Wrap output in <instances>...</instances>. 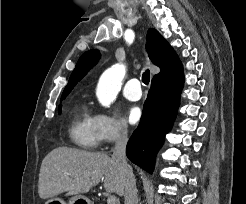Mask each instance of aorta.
Instances as JSON below:
<instances>
[{"mask_svg":"<svg viewBox=\"0 0 246 204\" xmlns=\"http://www.w3.org/2000/svg\"><path fill=\"white\" fill-rule=\"evenodd\" d=\"M124 76L125 66L122 64H116L102 74L97 88V97L103 106L109 107L114 101Z\"/></svg>","mask_w":246,"mask_h":204,"instance_id":"aorta-1","label":"aorta"}]
</instances>
